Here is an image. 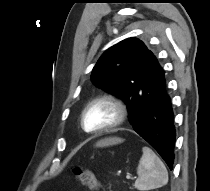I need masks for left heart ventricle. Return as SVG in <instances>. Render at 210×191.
<instances>
[{
  "instance_id": "b2bd125f",
  "label": "left heart ventricle",
  "mask_w": 210,
  "mask_h": 191,
  "mask_svg": "<svg viewBox=\"0 0 210 191\" xmlns=\"http://www.w3.org/2000/svg\"><path fill=\"white\" fill-rule=\"evenodd\" d=\"M116 110L108 103L92 105L85 113L84 125L87 130H95L115 121Z\"/></svg>"
}]
</instances>
